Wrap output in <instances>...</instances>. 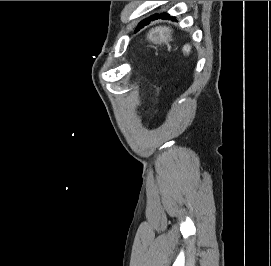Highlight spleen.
Segmentation results:
<instances>
[{
  "label": "spleen",
  "instance_id": "1",
  "mask_svg": "<svg viewBox=\"0 0 271 266\" xmlns=\"http://www.w3.org/2000/svg\"><path fill=\"white\" fill-rule=\"evenodd\" d=\"M182 51L185 55H188L191 52V46L189 44L184 45Z\"/></svg>",
  "mask_w": 271,
  "mask_h": 266
}]
</instances>
